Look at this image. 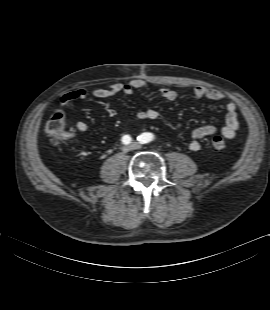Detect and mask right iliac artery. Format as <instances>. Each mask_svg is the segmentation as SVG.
Returning a JSON list of instances; mask_svg holds the SVG:
<instances>
[{
  "mask_svg": "<svg viewBox=\"0 0 270 310\" xmlns=\"http://www.w3.org/2000/svg\"><path fill=\"white\" fill-rule=\"evenodd\" d=\"M131 141H132V139H131V137L129 136V135H124L123 137H122V142H123V144H129V143H131Z\"/></svg>",
  "mask_w": 270,
  "mask_h": 310,
  "instance_id": "82829eb1",
  "label": "right iliac artery"
}]
</instances>
